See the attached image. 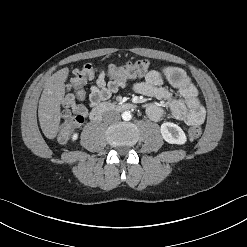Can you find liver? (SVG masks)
<instances>
[{"label":"liver","mask_w":247,"mask_h":247,"mask_svg":"<svg viewBox=\"0 0 247 247\" xmlns=\"http://www.w3.org/2000/svg\"><path fill=\"white\" fill-rule=\"evenodd\" d=\"M69 74L68 68L54 73L44 84L39 100L38 117L43 134L54 139L59 130L61 119L60 104L65 95V81Z\"/></svg>","instance_id":"1"}]
</instances>
